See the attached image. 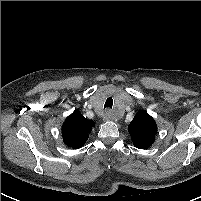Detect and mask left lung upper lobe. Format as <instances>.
Wrapping results in <instances>:
<instances>
[{"label": "left lung upper lobe", "mask_w": 201, "mask_h": 201, "mask_svg": "<svg viewBox=\"0 0 201 201\" xmlns=\"http://www.w3.org/2000/svg\"><path fill=\"white\" fill-rule=\"evenodd\" d=\"M128 128L136 148L146 149L155 141L157 126L154 119L145 111H139L130 122Z\"/></svg>", "instance_id": "obj_1"}]
</instances>
